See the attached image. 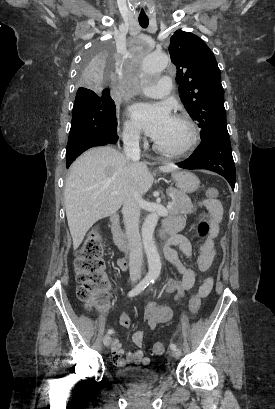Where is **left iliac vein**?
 Returning a JSON list of instances; mask_svg holds the SVG:
<instances>
[{
	"label": "left iliac vein",
	"mask_w": 275,
	"mask_h": 409,
	"mask_svg": "<svg viewBox=\"0 0 275 409\" xmlns=\"http://www.w3.org/2000/svg\"><path fill=\"white\" fill-rule=\"evenodd\" d=\"M172 355L175 358H178L180 356V350L179 349L172 350Z\"/></svg>",
	"instance_id": "4c4485c4"
}]
</instances>
